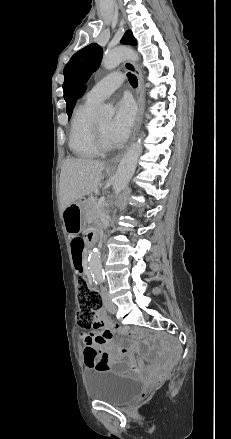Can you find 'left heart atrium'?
I'll list each match as a JSON object with an SVG mask.
<instances>
[{
    "label": "left heart atrium",
    "instance_id": "39dd6f15",
    "mask_svg": "<svg viewBox=\"0 0 231 439\" xmlns=\"http://www.w3.org/2000/svg\"><path fill=\"white\" fill-rule=\"evenodd\" d=\"M134 106L128 99H122L117 103L114 118L111 121L109 136L114 145L125 141L134 124Z\"/></svg>",
    "mask_w": 231,
    "mask_h": 439
}]
</instances>
